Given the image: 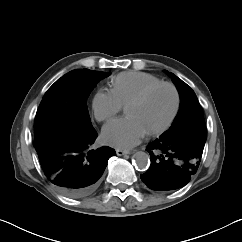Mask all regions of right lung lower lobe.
Here are the masks:
<instances>
[{
  "label": "right lung lower lobe",
  "mask_w": 242,
  "mask_h": 242,
  "mask_svg": "<svg viewBox=\"0 0 242 242\" xmlns=\"http://www.w3.org/2000/svg\"><path fill=\"white\" fill-rule=\"evenodd\" d=\"M93 126H52L35 133L34 146L48 180L64 195L84 198L100 183L114 149H93Z\"/></svg>",
  "instance_id": "obj_1"
}]
</instances>
